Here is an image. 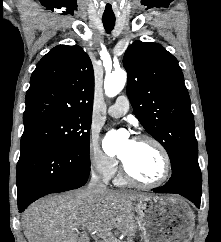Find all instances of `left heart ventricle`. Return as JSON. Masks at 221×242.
Here are the masks:
<instances>
[{
    "label": "left heart ventricle",
    "mask_w": 221,
    "mask_h": 242,
    "mask_svg": "<svg viewBox=\"0 0 221 242\" xmlns=\"http://www.w3.org/2000/svg\"><path fill=\"white\" fill-rule=\"evenodd\" d=\"M119 156L124 159L132 174L143 181L153 182L162 175L163 159L151 142L125 140Z\"/></svg>",
    "instance_id": "obj_1"
}]
</instances>
